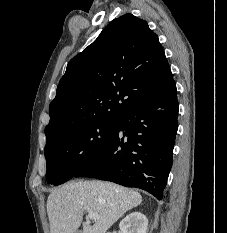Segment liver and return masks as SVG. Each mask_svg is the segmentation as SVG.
<instances>
[{"label": "liver", "instance_id": "obj_1", "mask_svg": "<svg viewBox=\"0 0 227 233\" xmlns=\"http://www.w3.org/2000/svg\"><path fill=\"white\" fill-rule=\"evenodd\" d=\"M142 196L131 189L102 181L71 182L52 191L47 199L50 233H75L83 213L94 212L100 219L83 222L82 233H106L127 211L137 207Z\"/></svg>", "mask_w": 227, "mask_h": 233}]
</instances>
